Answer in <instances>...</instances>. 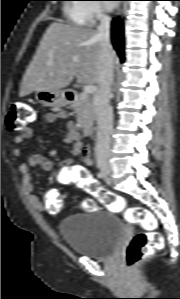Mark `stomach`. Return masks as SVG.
Returning <instances> with one entry per match:
<instances>
[{"mask_svg": "<svg viewBox=\"0 0 180 299\" xmlns=\"http://www.w3.org/2000/svg\"><path fill=\"white\" fill-rule=\"evenodd\" d=\"M37 102L49 107H64L69 101L63 90H37L34 93Z\"/></svg>", "mask_w": 180, "mask_h": 299, "instance_id": "stomach-1", "label": "stomach"}]
</instances>
